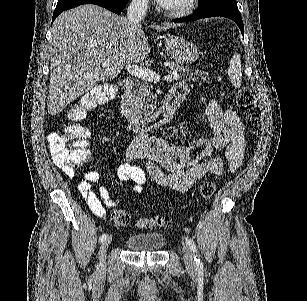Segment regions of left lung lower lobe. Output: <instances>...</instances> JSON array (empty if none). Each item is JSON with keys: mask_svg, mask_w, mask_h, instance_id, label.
I'll return each instance as SVG.
<instances>
[{"mask_svg": "<svg viewBox=\"0 0 307 301\" xmlns=\"http://www.w3.org/2000/svg\"><path fill=\"white\" fill-rule=\"evenodd\" d=\"M213 16H221V17L232 19L239 26L241 33L244 34L242 17L240 13H235V12L220 11V10H208L204 12H195L191 16L181 18V19H175L173 20V22H176V23L189 22V21H194V20L207 18V17H213Z\"/></svg>", "mask_w": 307, "mask_h": 301, "instance_id": "0a47b994", "label": "left lung lower lobe"}]
</instances>
